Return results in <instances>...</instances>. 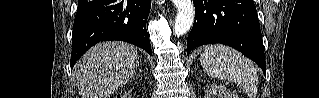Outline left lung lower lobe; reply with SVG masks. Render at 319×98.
Masks as SVG:
<instances>
[{"label": "left lung lower lobe", "instance_id": "0a47b994", "mask_svg": "<svg viewBox=\"0 0 319 98\" xmlns=\"http://www.w3.org/2000/svg\"><path fill=\"white\" fill-rule=\"evenodd\" d=\"M195 22L187 54L200 45L222 43L254 60L266 73L260 25L253 0H193Z\"/></svg>", "mask_w": 319, "mask_h": 98}]
</instances>
